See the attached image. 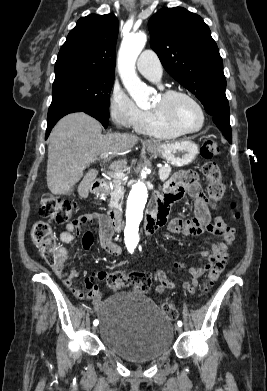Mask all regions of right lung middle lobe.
Returning <instances> with one entry per match:
<instances>
[{
  "label": "right lung middle lobe",
  "mask_w": 267,
  "mask_h": 391,
  "mask_svg": "<svg viewBox=\"0 0 267 391\" xmlns=\"http://www.w3.org/2000/svg\"><path fill=\"white\" fill-rule=\"evenodd\" d=\"M115 74L71 72L55 77L48 115L69 106L94 109L109 116Z\"/></svg>",
  "instance_id": "obj_1"
}]
</instances>
